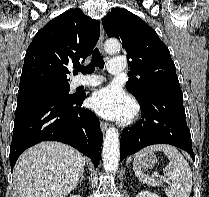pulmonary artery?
I'll use <instances>...</instances> for the list:
<instances>
[{
  "label": "pulmonary artery",
  "instance_id": "obj_1",
  "mask_svg": "<svg viewBox=\"0 0 209 197\" xmlns=\"http://www.w3.org/2000/svg\"><path fill=\"white\" fill-rule=\"evenodd\" d=\"M123 69H124L123 61L119 57H115V58L111 59L107 65V70L110 74H120L123 72ZM102 82H103V79L101 77H97V76L78 78L76 80V84L79 86H81V85L95 86V85L101 84Z\"/></svg>",
  "mask_w": 209,
  "mask_h": 197
}]
</instances>
